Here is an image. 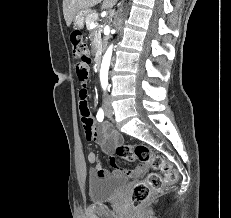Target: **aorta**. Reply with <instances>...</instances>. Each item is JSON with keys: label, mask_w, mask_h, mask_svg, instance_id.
I'll return each mask as SVG.
<instances>
[{"label": "aorta", "mask_w": 231, "mask_h": 218, "mask_svg": "<svg viewBox=\"0 0 231 218\" xmlns=\"http://www.w3.org/2000/svg\"><path fill=\"white\" fill-rule=\"evenodd\" d=\"M112 51L113 45H110L107 51L105 52L101 63L100 82L103 88H106L108 85V71L111 62Z\"/></svg>", "instance_id": "762f6f07"}]
</instances>
